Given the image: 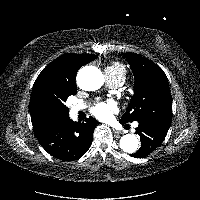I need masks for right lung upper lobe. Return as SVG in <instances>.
<instances>
[{
    "mask_svg": "<svg viewBox=\"0 0 200 200\" xmlns=\"http://www.w3.org/2000/svg\"><path fill=\"white\" fill-rule=\"evenodd\" d=\"M96 58L97 56L93 54H64L42 70L33 85L29 103L33 126L45 118L41 113L44 100L61 97L67 91L77 88L75 82L77 71Z\"/></svg>",
    "mask_w": 200,
    "mask_h": 200,
    "instance_id": "cb5924a9",
    "label": "right lung upper lobe"
}]
</instances>
